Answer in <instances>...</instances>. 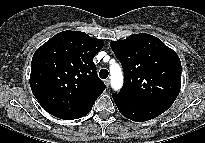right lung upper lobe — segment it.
<instances>
[{"instance_id": "right-lung-upper-lobe-1", "label": "right lung upper lobe", "mask_w": 205, "mask_h": 143, "mask_svg": "<svg viewBox=\"0 0 205 143\" xmlns=\"http://www.w3.org/2000/svg\"><path fill=\"white\" fill-rule=\"evenodd\" d=\"M102 47L100 39L67 30L38 48L31 62L30 86L48 113L73 116L94 104L105 89L93 62Z\"/></svg>"}]
</instances>
